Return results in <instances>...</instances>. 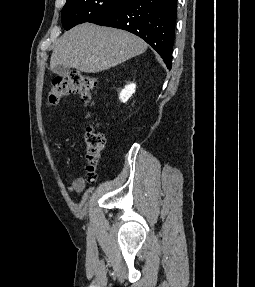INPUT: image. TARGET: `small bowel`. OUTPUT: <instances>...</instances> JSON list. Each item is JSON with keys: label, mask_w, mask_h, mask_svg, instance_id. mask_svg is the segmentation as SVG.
<instances>
[{"label": "small bowel", "mask_w": 255, "mask_h": 287, "mask_svg": "<svg viewBox=\"0 0 255 287\" xmlns=\"http://www.w3.org/2000/svg\"><path fill=\"white\" fill-rule=\"evenodd\" d=\"M83 187H84V182H83V180L77 179V180H75V181L72 183V185H71V187H70V190H71L72 192H80V191L83 190Z\"/></svg>", "instance_id": "1"}]
</instances>
